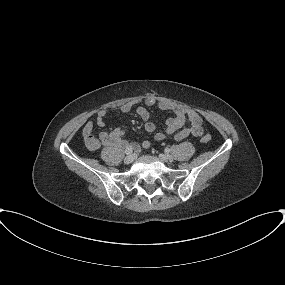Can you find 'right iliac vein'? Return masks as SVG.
<instances>
[{
  "label": "right iliac vein",
  "mask_w": 285,
  "mask_h": 285,
  "mask_svg": "<svg viewBox=\"0 0 285 285\" xmlns=\"http://www.w3.org/2000/svg\"><path fill=\"white\" fill-rule=\"evenodd\" d=\"M135 155L134 154H129L124 158V163L125 164H130L134 161Z\"/></svg>",
  "instance_id": "right-iliac-vein-1"
}]
</instances>
